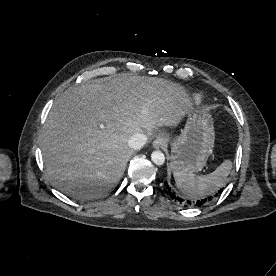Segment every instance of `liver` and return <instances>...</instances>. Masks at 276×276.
Listing matches in <instances>:
<instances>
[{
	"instance_id": "6515ba94",
	"label": "liver",
	"mask_w": 276,
	"mask_h": 276,
	"mask_svg": "<svg viewBox=\"0 0 276 276\" xmlns=\"http://www.w3.org/2000/svg\"><path fill=\"white\" fill-rule=\"evenodd\" d=\"M192 109L182 86L157 77L119 74L73 86L54 101L44 125L47 176L69 196L97 198L122 177L132 135L177 126Z\"/></svg>"
}]
</instances>
